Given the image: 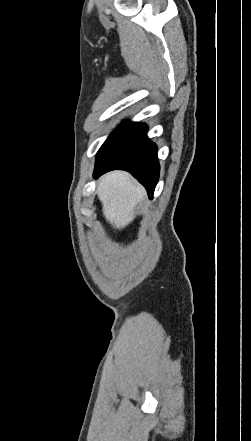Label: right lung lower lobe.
Instances as JSON below:
<instances>
[{
    "label": "right lung lower lobe",
    "mask_w": 251,
    "mask_h": 441,
    "mask_svg": "<svg viewBox=\"0 0 251 441\" xmlns=\"http://www.w3.org/2000/svg\"><path fill=\"white\" fill-rule=\"evenodd\" d=\"M147 126L125 122L104 142L96 156L94 177L121 169L130 172L153 196L159 178L157 146L147 136Z\"/></svg>",
    "instance_id": "right-lung-lower-lobe-1"
}]
</instances>
